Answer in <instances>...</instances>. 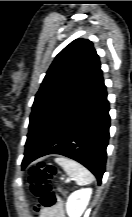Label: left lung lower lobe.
I'll return each instance as SVG.
<instances>
[{"label":"left lung lower lobe","mask_w":132,"mask_h":217,"mask_svg":"<svg viewBox=\"0 0 132 217\" xmlns=\"http://www.w3.org/2000/svg\"><path fill=\"white\" fill-rule=\"evenodd\" d=\"M109 103L102 71L55 120L40 142L24 154V169L35 159L60 154L88 168L101 184L109 139Z\"/></svg>","instance_id":"1"}]
</instances>
